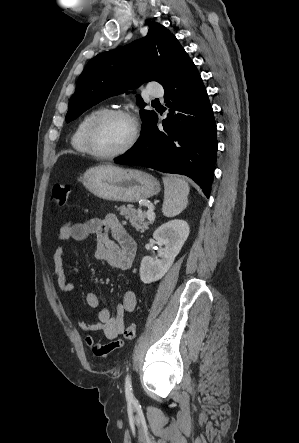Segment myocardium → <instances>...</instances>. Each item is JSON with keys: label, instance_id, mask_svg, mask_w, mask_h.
<instances>
[{"label": "myocardium", "instance_id": "myocardium-1", "mask_svg": "<svg viewBox=\"0 0 299 443\" xmlns=\"http://www.w3.org/2000/svg\"><path fill=\"white\" fill-rule=\"evenodd\" d=\"M113 116H120V117H124V118L128 119L132 123V135H131L130 140L127 142V144L123 148H121L120 150L112 152V153H101L95 148L94 134H95L98 126L100 125V123L103 120H105L108 117H113ZM138 138H139V125H138V122L135 119V117L126 110L115 109V108L114 109H104V110L100 111L98 114H96L91 119L89 124L87 125V128L85 130V135H84L85 146H86L89 154L92 155L93 157H95L97 159H101V160L115 159L117 157H120V156L126 154L135 146Z\"/></svg>", "mask_w": 299, "mask_h": 443}]
</instances>
